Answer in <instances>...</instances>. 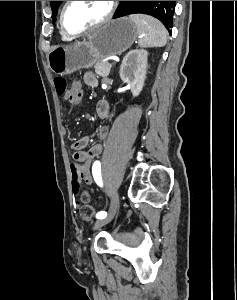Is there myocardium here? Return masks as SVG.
<instances>
[{
    "mask_svg": "<svg viewBox=\"0 0 237 300\" xmlns=\"http://www.w3.org/2000/svg\"><path fill=\"white\" fill-rule=\"evenodd\" d=\"M70 3H71V1H65V3L62 6V9L60 11V18H59L61 32L64 36L69 37V38L79 37L85 33L97 30V29L107 25L114 17V14L116 11V1H108V11H107L106 15L100 21L83 29L82 31H80L78 33H70L66 29L65 24H64L65 11Z\"/></svg>",
    "mask_w": 237,
    "mask_h": 300,
    "instance_id": "1",
    "label": "myocardium"
}]
</instances>
